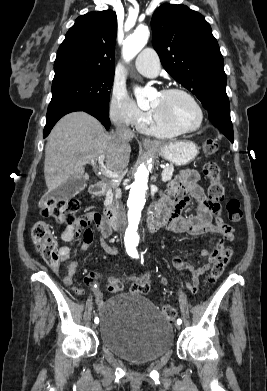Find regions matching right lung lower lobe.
Segmentation results:
<instances>
[{
	"mask_svg": "<svg viewBox=\"0 0 267 391\" xmlns=\"http://www.w3.org/2000/svg\"><path fill=\"white\" fill-rule=\"evenodd\" d=\"M74 111L87 112L97 118L105 126L106 129H109L110 127L109 112L94 106H88L79 103H68L54 108L50 111H47L46 125L43 132L44 136L46 137L50 133L55 123L62 116Z\"/></svg>",
	"mask_w": 267,
	"mask_h": 391,
	"instance_id": "1",
	"label": "right lung lower lobe"
}]
</instances>
